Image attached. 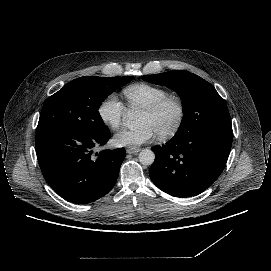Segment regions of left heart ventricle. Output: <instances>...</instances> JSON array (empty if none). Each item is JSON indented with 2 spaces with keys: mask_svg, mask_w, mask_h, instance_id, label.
Segmentation results:
<instances>
[{
  "mask_svg": "<svg viewBox=\"0 0 271 271\" xmlns=\"http://www.w3.org/2000/svg\"><path fill=\"white\" fill-rule=\"evenodd\" d=\"M178 110L175 104H168L160 112L154 115L141 112L139 125H148L155 135L169 129L175 122Z\"/></svg>",
  "mask_w": 271,
  "mask_h": 271,
  "instance_id": "b2bd125f",
  "label": "left heart ventricle"
}]
</instances>
